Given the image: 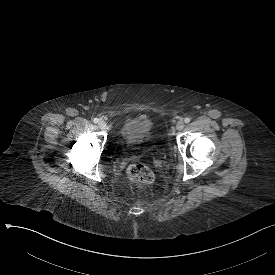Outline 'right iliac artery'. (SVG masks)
<instances>
[{
	"mask_svg": "<svg viewBox=\"0 0 275 275\" xmlns=\"http://www.w3.org/2000/svg\"><path fill=\"white\" fill-rule=\"evenodd\" d=\"M93 122H94V123H98V122H99V119H98V118H94V119H93Z\"/></svg>",
	"mask_w": 275,
	"mask_h": 275,
	"instance_id": "82829eb1",
	"label": "right iliac artery"
}]
</instances>
